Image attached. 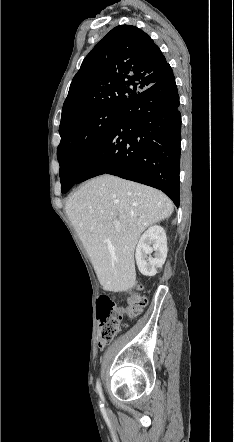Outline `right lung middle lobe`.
Here are the masks:
<instances>
[{
    "mask_svg": "<svg viewBox=\"0 0 234 442\" xmlns=\"http://www.w3.org/2000/svg\"><path fill=\"white\" fill-rule=\"evenodd\" d=\"M120 110L121 107H112L92 112L75 120L60 133L57 158L62 192L72 183L74 164L106 137Z\"/></svg>",
    "mask_w": 234,
    "mask_h": 442,
    "instance_id": "right-lung-middle-lobe-1",
    "label": "right lung middle lobe"
}]
</instances>
